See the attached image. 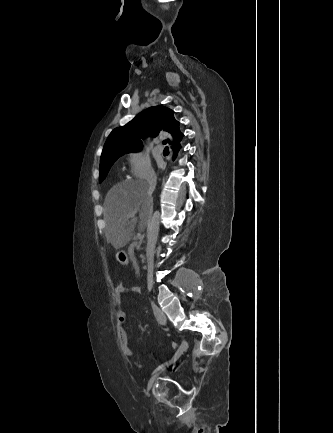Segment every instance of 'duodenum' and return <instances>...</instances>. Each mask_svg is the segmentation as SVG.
<instances>
[{
    "instance_id": "1",
    "label": "duodenum",
    "mask_w": 333,
    "mask_h": 433,
    "mask_svg": "<svg viewBox=\"0 0 333 433\" xmlns=\"http://www.w3.org/2000/svg\"><path fill=\"white\" fill-rule=\"evenodd\" d=\"M136 245L135 241H131L128 247V255H130L131 263H133V268H138V263H136L135 253H133V248Z\"/></svg>"
}]
</instances>
